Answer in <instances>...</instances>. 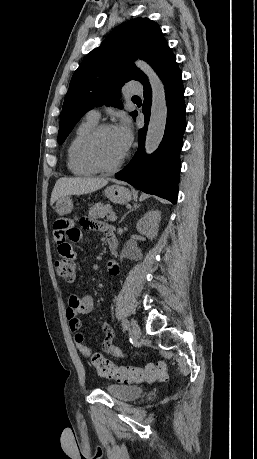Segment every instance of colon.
Instances as JSON below:
<instances>
[{"instance_id": "colon-1", "label": "colon", "mask_w": 257, "mask_h": 459, "mask_svg": "<svg viewBox=\"0 0 257 459\" xmlns=\"http://www.w3.org/2000/svg\"><path fill=\"white\" fill-rule=\"evenodd\" d=\"M55 271L67 281H74L77 276L75 261H64L63 258L55 262ZM91 363L101 376L119 381L153 383L167 379L166 365L162 361L144 367L117 366L102 354L94 353Z\"/></svg>"}]
</instances>
